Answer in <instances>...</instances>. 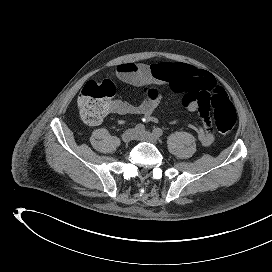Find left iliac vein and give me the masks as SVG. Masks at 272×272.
Wrapping results in <instances>:
<instances>
[{
    "instance_id": "obj_1",
    "label": "left iliac vein",
    "mask_w": 272,
    "mask_h": 272,
    "mask_svg": "<svg viewBox=\"0 0 272 272\" xmlns=\"http://www.w3.org/2000/svg\"><path fill=\"white\" fill-rule=\"evenodd\" d=\"M136 139L142 140V141H147V142H150L153 144L158 143V138L154 134L147 132V131L137 132Z\"/></svg>"
}]
</instances>
